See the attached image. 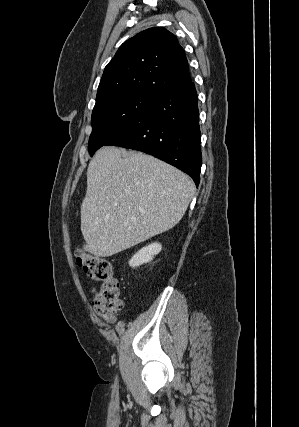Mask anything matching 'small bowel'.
I'll return each mask as SVG.
<instances>
[{
  "label": "small bowel",
  "instance_id": "c3829d8e",
  "mask_svg": "<svg viewBox=\"0 0 299 427\" xmlns=\"http://www.w3.org/2000/svg\"><path fill=\"white\" fill-rule=\"evenodd\" d=\"M95 291V288H92V292H94Z\"/></svg>",
  "mask_w": 299,
  "mask_h": 427
}]
</instances>
